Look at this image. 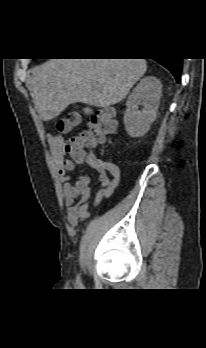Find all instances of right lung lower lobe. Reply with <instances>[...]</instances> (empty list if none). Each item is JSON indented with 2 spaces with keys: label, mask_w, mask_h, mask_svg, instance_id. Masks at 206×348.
<instances>
[{
  "label": "right lung lower lobe",
  "mask_w": 206,
  "mask_h": 348,
  "mask_svg": "<svg viewBox=\"0 0 206 348\" xmlns=\"http://www.w3.org/2000/svg\"><path fill=\"white\" fill-rule=\"evenodd\" d=\"M159 62L161 65L166 67L175 77L177 82H180V77H181V70H182V59H175V58H170V59H159L156 60Z\"/></svg>",
  "instance_id": "1"
}]
</instances>
